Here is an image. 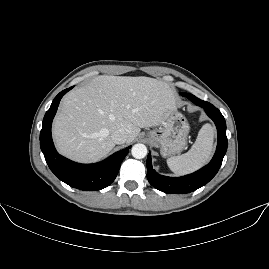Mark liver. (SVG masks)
<instances>
[{
	"label": "liver",
	"mask_w": 269,
	"mask_h": 269,
	"mask_svg": "<svg viewBox=\"0 0 269 269\" xmlns=\"http://www.w3.org/2000/svg\"><path fill=\"white\" fill-rule=\"evenodd\" d=\"M176 109L175 94L164 82L102 75L64 97L53 134L66 156L95 161L115 147L113 131L124 129L130 143L141 128L160 126Z\"/></svg>",
	"instance_id": "1"
}]
</instances>
